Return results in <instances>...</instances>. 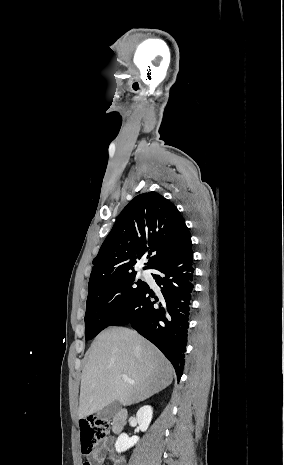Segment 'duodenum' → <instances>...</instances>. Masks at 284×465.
I'll list each match as a JSON object with an SVG mask.
<instances>
[{
	"mask_svg": "<svg viewBox=\"0 0 284 465\" xmlns=\"http://www.w3.org/2000/svg\"><path fill=\"white\" fill-rule=\"evenodd\" d=\"M127 415L125 408H119L114 412L112 418V432L114 435H119L125 428Z\"/></svg>",
	"mask_w": 284,
	"mask_h": 465,
	"instance_id": "obj_1",
	"label": "duodenum"
}]
</instances>
